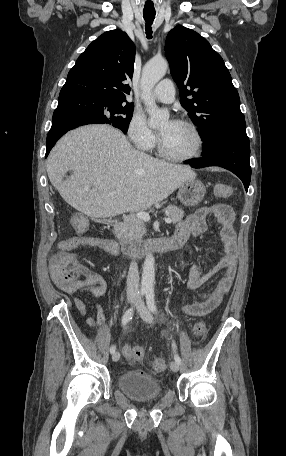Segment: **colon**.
I'll return each mask as SVG.
<instances>
[{
	"label": "colon",
	"instance_id": "obj_1",
	"mask_svg": "<svg viewBox=\"0 0 286 456\" xmlns=\"http://www.w3.org/2000/svg\"><path fill=\"white\" fill-rule=\"evenodd\" d=\"M214 194L217 197H227L232 194V189L228 185H217L214 187ZM73 227L78 233H85L88 230V223L83 217L76 216L73 220ZM61 249L63 252L54 256L51 261L52 278L61 287L74 291L84 283L87 273L76 257L68 253L70 251L69 247L65 246ZM206 331L207 326L204 322H197L193 327V333L198 338L203 337ZM144 355L145 349L140 346H136L126 353L130 361L142 360ZM153 368L156 372H163L166 369L165 360L156 358L153 361Z\"/></svg>",
	"mask_w": 286,
	"mask_h": 456
}]
</instances>
